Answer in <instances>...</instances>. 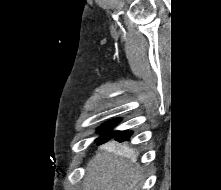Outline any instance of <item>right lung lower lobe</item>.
I'll use <instances>...</instances> for the list:
<instances>
[{"instance_id":"1","label":"right lung lower lobe","mask_w":221,"mask_h":190,"mask_svg":"<svg viewBox=\"0 0 221 190\" xmlns=\"http://www.w3.org/2000/svg\"><path fill=\"white\" fill-rule=\"evenodd\" d=\"M131 134L132 133L130 131H122L119 134H117L114 138L116 141L123 142L127 141L130 138Z\"/></svg>"}]
</instances>
